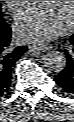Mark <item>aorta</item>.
<instances>
[{
  "label": "aorta",
  "instance_id": "762f6f07",
  "mask_svg": "<svg viewBox=\"0 0 74 122\" xmlns=\"http://www.w3.org/2000/svg\"><path fill=\"white\" fill-rule=\"evenodd\" d=\"M43 64L47 71L59 73L66 67V57L62 52L52 50L44 55Z\"/></svg>",
  "mask_w": 74,
  "mask_h": 122
}]
</instances>
